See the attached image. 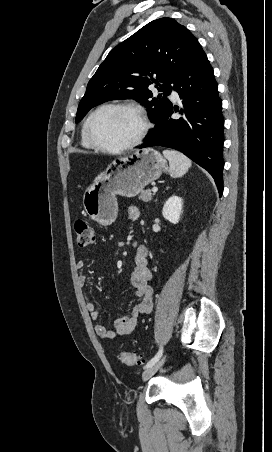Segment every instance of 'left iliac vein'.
Instances as JSON below:
<instances>
[{
  "label": "left iliac vein",
  "instance_id": "left-iliac-vein-1",
  "mask_svg": "<svg viewBox=\"0 0 272 452\" xmlns=\"http://www.w3.org/2000/svg\"><path fill=\"white\" fill-rule=\"evenodd\" d=\"M165 357L166 356H163L156 363H154L153 365L144 370V372L142 373L143 381H147L148 379H150L161 368L165 361Z\"/></svg>",
  "mask_w": 272,
  "mask_h": 452
}]
</instances>
